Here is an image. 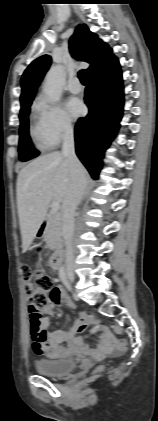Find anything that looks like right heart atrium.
<instances>
[{
	"label": "right heart atrium",
	"instance_id": "1",
	"mask_svg": "<svg viewBox=\"0 0 158 421\" xmlns=\"http://www.w3.org/2000/svg\"><path fill=\"white\" fill-rule=\"evenodd\" d=\"M37 108L45 133L52 143L57 144L73 133V123L59 105L49 103L44 98H40L37 102Z\"/></svg>",
	"mask_w": 158,
	"mask_h": 421
}]
</instances>
